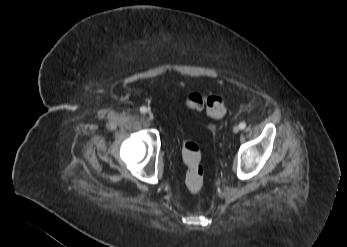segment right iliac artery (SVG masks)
I'll return each mask as SVG.
<instances>
[{"label":"right iliac artery","instance_id":"1","mask_svg":"<svg viewBox=\"0 0 347 247\" xmlns=\"http://www.w3.org/2000/svg\"><path fill=\"white\" fill-rule=\"evenodd\" d=\"M147 111H148L147 108L144 107V106H142V107L140 108V112H141V113H146Z\"/></svg>","mask_w":347,"mask_h":247}]
</instances>
